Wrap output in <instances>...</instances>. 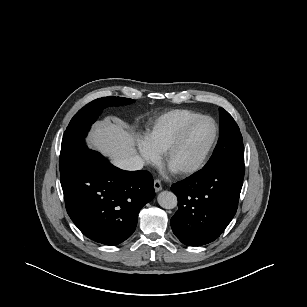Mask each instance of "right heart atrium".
<instances>
[{
	"mask_svg": "<svg viewBox=\"0 0 307 307\" xmlns=\"http://www.w3.org/2000/svg\"><path fill=\"white\" fill-rule=\"evenodd\" d=\"M138 149L146 164L154 165L159 161V154L151 148L146 139L138 141Z\"/></svg>",
	"mask_w": 307,
	"mask_h": 307,
	"instance_id": "obj_1",
	"label": "right heart atrium"
}]
</instances>
